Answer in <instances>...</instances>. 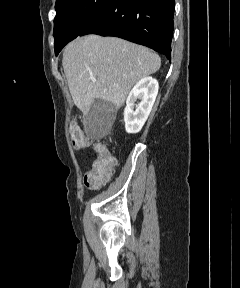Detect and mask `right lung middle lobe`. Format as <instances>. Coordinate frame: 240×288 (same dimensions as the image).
<instances>
[{
	"instance_id": "dd1d6c3e",
	"label": "right lung middle lobe",
	"mask_w": 240,
	"mask_h": 288,
	"mask_svg": "<svg viewBox=\"0 0 240 288\" xmlns=\"http://www.w3.org/2000/svg\"><path fill=\"white\" fill-rule=\"evenodd\" d=\"M113 0H57L54 19L55 54L94 20Z\"/></svg>"
}]
</instances>
